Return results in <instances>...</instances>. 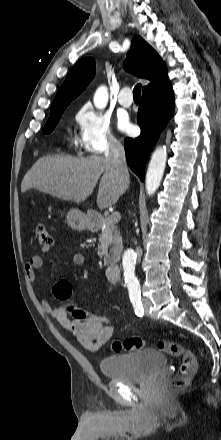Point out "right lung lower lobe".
I'll list each match as a JSON object with an SVG mask.
<instances>
[{
	"mask_svg": "<svg viewBox=\"0 0 221 440\" xmlns=\"http://www.w3.org/2000/svg\"><path fill=\"white\" fill-rule=\"evenodd\" d=\"M173 112L174 95L170 82L143 93L137 115L141 135L124 140L127 163L141 181H144L145 165L150 152Z\"/></svg>",
	"mask_w": 221,
	"mask_h": 440,
	"instance_id": "98d812e1",
	"label": "right lung lower lobe"
}]
</instances>
